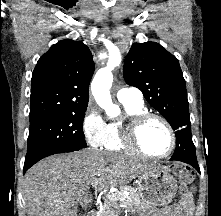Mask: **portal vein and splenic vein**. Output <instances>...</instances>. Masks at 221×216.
<instances>
[{
    "mask_svg": "<svg viewBox=\"0 0 221 216\" xmlns=\"http://www.w3.org/2000/svg\"><path fill=\"white\" fill-rule=\"evenodd\" d=\"M96 185V183H92V186H95Z\"/></svg>",
    "mask_w": 221,
    "mask_h": 216,
    "instance_id": "portal-vein-and-splenic-vein-1",
    "label": "portal vein and splenic vein"
}]
</instances>
